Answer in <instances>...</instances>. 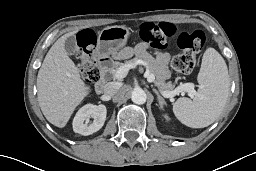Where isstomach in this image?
<instances>
[{"label":"stomach","instance_id":"1","mask_svg":"<svg viewBox=\"0 0 256 171\" xmlns=\"http://www.w3.org/2000/svg\"><path fill=\"white\" fill-rule=\"evenodd\" d=\"M129 35V28L124 25L104 28L99 32L96 55L99 58H105L110 55L115 58L121 57L119 51L126 45Z\"/></svg>","mask_w":256,"mask_h":171}]
</instances>
